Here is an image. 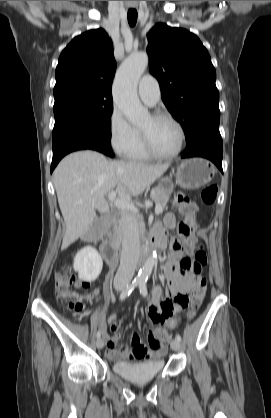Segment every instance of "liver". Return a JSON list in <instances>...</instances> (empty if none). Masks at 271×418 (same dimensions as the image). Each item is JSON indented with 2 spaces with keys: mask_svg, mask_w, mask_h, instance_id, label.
I'll list each match as a JSON object with an SVG mask.
<instances>
[{
  "mask_svg": "<svg viewBox=\"0 0 271 418\" xmlns=\"http://www.w3.org/2000/svg\"><path fill=\"white\" fill-rule=\"evenodd\" d=\"M170 164L149 165L136 161H109L95 151H79L66 156L53 173L59 207L66 223L62 249L87 232L106 213L105 196L116 188L119 199L129 202L159 179Z\"/></svg>",
  "mask_w": 271,
  "mask_h": 418,
  "instance_id": "liver-1",
  "label": "liver"
}]
</instances>
